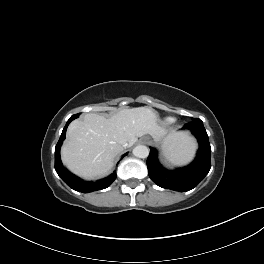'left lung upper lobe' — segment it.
Segmentation results:
<instances>
[{
    "label": "left lung upper lobe",
    "mask_w": 264,
    "mask_h": 264,
    "mask_svg": "<svg viewBox=\"0 0 264 264\" xmlns=\"http://www.w3.org/2000/svg\"><path fill=\"white\" fill-rule=\"evenodd\" d=\"M197 120H200V119H197V118H192V121H197Z\"/></svg>",
    "instance_id": "5c2ea615"
}]
</instances>
